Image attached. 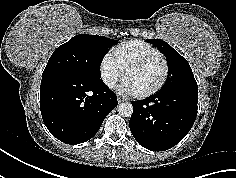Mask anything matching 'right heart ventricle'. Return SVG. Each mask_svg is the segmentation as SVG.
Instances as JSON below:
<instances>
[{
	"mask_svg": "<svg viewBox=\"0 0 236 178\" xmlns=\"http://www.w3.org/2000/svg\"><path fill=\"white\" fill-rule=\"evenodd\" d=\"M123 69L132 61L143 59L152 55H160V51L153 46L140 41L128 40L121 42L112 53Z\"/></svg>",
	"mask_w": 236,
	"mask_h": 178,
	"instance_id": "right-heart-ventricle-1",
	"label": "right heart ventricle"
}]
</instances>
